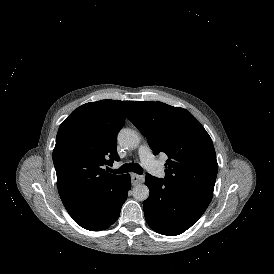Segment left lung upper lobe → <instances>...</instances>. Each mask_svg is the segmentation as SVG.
Wrapping results in <instances>:
<instances>
[{
  "label": "left lung upper lobe",
  "mask_w": 274,
  "mask_h": 274,
  "mask_svg": "<svg viewBox=\"0 0 274 274\" xmlns=\"http://www.w3.org/2000/svg\"><path fill=\"white\" fill-rule=\"evenodd\" d=\"M127 118L154 154H167L164 180L213 195L218 164L212 140L187 110L162 102H134Z\"/></svg>",
  "instance_id": "5c2ea615"
}]
</instances>
